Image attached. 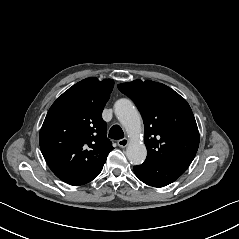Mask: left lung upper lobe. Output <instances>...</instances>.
Returning a JSON list of instances; mask_svg holds the SVG:
<instances>
[{
  "label": "left lung upper lobe",
  "instance_id": "left-lung-upper-lobe-1",
  "mask_svg": "<svg viewBox=\"0 0 239 239\" xmlns=\"http://www.w3.org/2000/svg\"><path fill=\"white\" fill-rule=\"evenodd\" d=\"M138 107L145 126V162L190 164L199 131L189 104L168 86L150 80L118 84Z\"/></svg>",
  "mask_w": 239,
  "mask_h": 239
}]
</instances>
